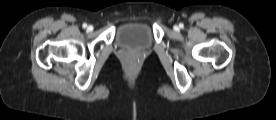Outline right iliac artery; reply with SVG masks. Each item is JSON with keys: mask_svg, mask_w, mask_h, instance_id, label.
I'll return each mask as SVG.
<instances>
[{"mask_svg": "<svg viewBox=\"0 0 276 120\" xmlns=\"http://www.w3.org/2000/svg\"><path fill=\"white\" fill-rule=\"evenodd\" d=\"M82 26H83V28H86V27H87V24H86V23H84Z\"/></svg>", "mask_w": 276, "mask_h": 120, "instance_id": "82829eb1", "label": "right iliac artery"}]
</instances>
